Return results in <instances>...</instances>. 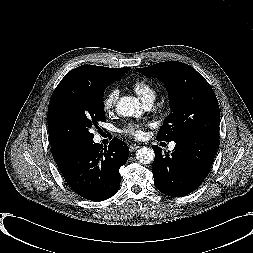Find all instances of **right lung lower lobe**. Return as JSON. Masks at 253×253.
<instances>
[{"instance_id": "right-lung-lower-lobe-1", "label": "right lung lower lobe", "mask_w": 253, "mask_h": 253, "mask_svg": "<svg viewBox=\"0 0 253 253\" xmlns=\"http://www.w3.org/2000/svg\"><path fill=\"white\" fill-rule=\"evenodd\" d=\"M128 156V146L117 138L108 148L92 141L80 147L60 171L78 195L92 201H103L119 190V168L125 165Z\"/></svg>"}]
</instances>
